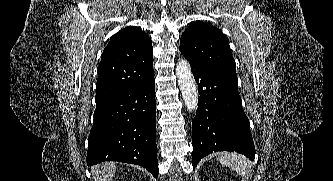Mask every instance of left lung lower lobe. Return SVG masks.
<instances>
[{"label":"left lung lower lobe","mask_w":333,"mask_h":181,"mask_svg":"<svg viewBox=\"0 0 333 181\" xmlns=\"http://www.w3.org/2000/svg\"><path fill=\"white\" fill-rule=\"evenodd\" d=\"M189 63L200 95L192 121L193 169L202 158L218 151H236L254 160L255 147L238 81Z\"/></svg>","instance_id":"1"}]
</instances>
